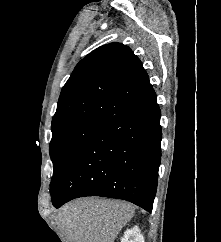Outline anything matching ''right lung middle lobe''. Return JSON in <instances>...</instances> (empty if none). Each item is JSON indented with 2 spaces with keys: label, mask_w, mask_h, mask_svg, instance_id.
I'll return each mask as SVG.
<instances>
[{
  "label": "right lung middle lobe",
  "mask_w": 221,
  "mask_h": 242,
  "mask_svg": "<svg viewBox=\"0 0 221 242\" xmlns=\"http://www.w3.org/2000/svg\"><path fill=\"white\" fill-rule=\"evenodd\" d=\"M101 122L97 120H83L52 129L49 152L53 162L54 173L50 190L57 183L75 151Z\"/></svg>",
  "instance_id": "1"
}]
</instances>
